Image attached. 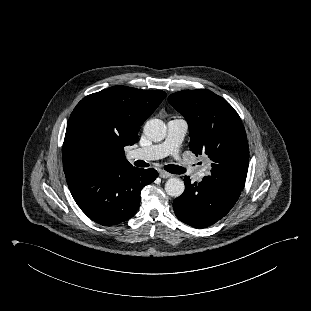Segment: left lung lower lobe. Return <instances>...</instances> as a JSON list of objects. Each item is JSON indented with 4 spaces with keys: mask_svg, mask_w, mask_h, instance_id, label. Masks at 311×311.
I'll use <instances>...</instances> for the list:
<instances>
[{
    "mask_svg": "<svg viewBox=\"0 0 311 311\" xmlns=\"http://www.w3.org/2000/svg\"><path fill=\"white\" fill-rule=\"evenodd\" d=\"M185 191L173 202L177 218L196 228H205L223 218L235 205L241 190L212 176L191 184L185 177Z\"/></svg>",
    "mask_w": 311,
    "mask_h": 311,
    "instance_id": "left-lung-lower-lobe-1",
    "label": "left lung lower lobe"
}]
</instances>
